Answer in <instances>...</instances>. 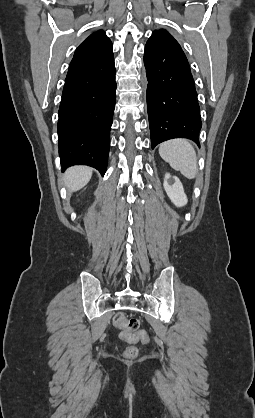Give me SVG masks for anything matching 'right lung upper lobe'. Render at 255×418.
<instances>
[{"mask_svg": "<svg viewBox=\"0 0 255 418\" xmlns=\"http://www.w3.org/2000/svg\"><path fill=\"white\" fill-rule=\"evenodd\" d=\"M113 56L112 43L102 30L92 33L76 49L69 68L94 64Z\"/></svg>", "mask_w": 255, "mask_h": 418, "instance_id": "right-lung-upper-lobe-1", "label": "right lung upper lobe"}]
</instances>
